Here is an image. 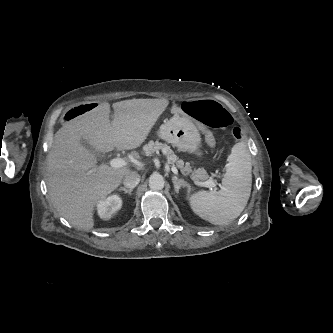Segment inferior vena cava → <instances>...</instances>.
Segmentation results:
<instances>
[{"label": "inferior vena cava", "instance_id": "inferior-vena-cava-1", "mask_svg": "<svg viewBox=\"0 0 333 333\" xmlns=\"http://www.w3.org/2000/svg\"><path fill=\"white\" fill-rule=\"evenodd\" d=\"M140 182V175L133 171L128 172L123 178V184L125 187L129 189L135 188Z\"/></svg>", "mask_w": 333, "mask_h": 333}]
</instances>
